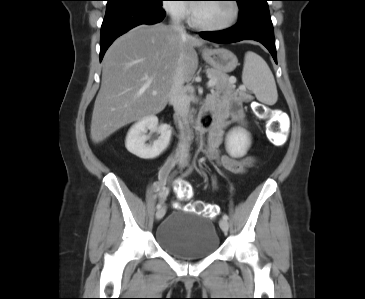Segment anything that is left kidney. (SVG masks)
<instances>
[{"label": "left kidney", "instance_id": "5707ae66", "mask_svg": "<svg viewBox=\"0 0 365 299\" xmlns=\"http://www.w3.org/2000/svg\"><path fill=\"white\" fill-rule=\"evenodd\" d=\"M251 140L249 134L241 128H233L227 135L226 148L232 157H242L246 154Z\"/></svg>", "mask_w": 365, "mask_h": 299}]
</instances>
